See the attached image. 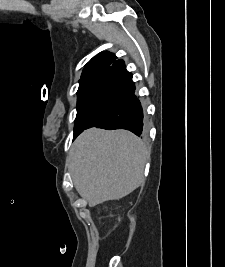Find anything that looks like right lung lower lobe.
I'll return each instance as SVG.
<instances>
[{
    "instance_id": "obj_1",
    "label": "right lung lower lobe",
    "mask_w": 225,
    "mask_h": 267,
    "mask_svg": "<svg viewBox=\"0 0 225 267\" xmlns=\"http://www.w3.org/2000/svg\"><path fill=\"white\" fill-rule=\"evenodd\" d=\"M92 127L144 134L143 109L123 60L115 61L90 86L77 113L74 138Z\"/></svg>"
}]
</instances>
